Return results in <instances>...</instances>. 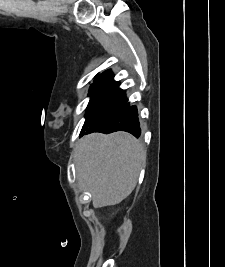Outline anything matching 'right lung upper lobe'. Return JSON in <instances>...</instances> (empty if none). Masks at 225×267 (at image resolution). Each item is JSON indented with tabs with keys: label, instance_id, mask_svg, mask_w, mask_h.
<instances>
[{
	"label": "right lung upper lobe",
	"instance_id": "1",
	"mask_svg": "<svg viewBox=\"0 0 225 267\" xmlns=\"http://www.w3.org/2000/svg\"><path fill=\"white\" fill-rule=\"evenodd\" d=\"M103 73H101L99 76H95V80L98 79Z\"/></svg>",
	"mask_w": 225,
	"mask_h": 267
}]
</instances>
